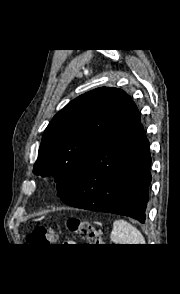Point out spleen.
I'll return each mask as SVG.
<instances>
[{"mask_svg": "<svg viewBox=\"0 0 180 294\" xmlns=\"http://www.w3.org/2000/svg\"><path fill=\"white\" fill-rule=\"evenodd\" d=\"M110 238L115 244H145V239L141 232L122 219L114 221Z\"/></svg>", "mask_w": 180, "mask_h": 294, "instance_id": "1", "label": "spleen"}]
</instances>
